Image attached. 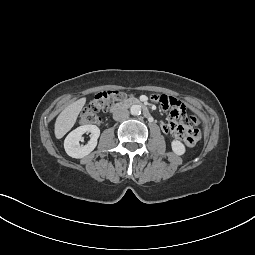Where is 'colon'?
I'll list each match as a JSON object with an SVG mask.
<instances>
[{
	"label": "colon",
	"instance_id": "obj_1",
	"mask_svg": "<svg viewBox=\"0 0 255 255\" xmlns=\"http://www.w3.org/2000/svg\"><path fill=\"white\" fill-rule=\"evenodd\" d=\"M126 97L125 93L120 90H109L98 93L93 101L82 111L80 115V123L84 125L88 124H97L100 121L98 116L99 112L105 111L110 104L114 102H118L123 100ZM164 97H168L165 95H158L153 96V98L160 102ZM174 100V99H173ZM174 104L177 105L176 101L174 100ZM187 114V113H186ZM188 115V114H187ZM189 116V115H188ZM193 123L196 122L195 117L189 116ZM199 133V140L201 138V131L198 129Z\"/></svg>",
	"mask_w": 255,
	"mask_h": 255
}]
</instances>
